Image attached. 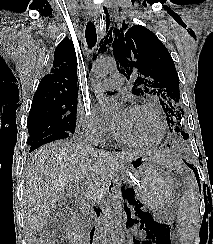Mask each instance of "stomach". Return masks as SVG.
Here are the masks:
<instances>
[{"label":"stomach","mask_w":213,"mask_h":244,"mask_svg":"<svg viewBox=\"0 0 213 244\" xmlns=\"http://www.w3.org/2000/svg\"><path fill=\"white\" fill-rule=\"evenodd\" d=\"M161 165L141 155L133 160L124 177L147 208L167 211L178 200L179 185Z\"/></svg>","instance_id":"obj_1"}]
</instances>
